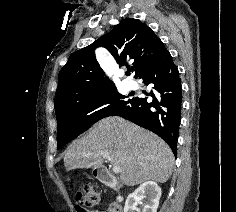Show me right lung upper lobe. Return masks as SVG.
I'll use <instances>...</instances> for the list:
<instances>
[{
  "mask_svg": "<svg viewBox=\"0 0 236 212\" xmlns=\"http://www.w3.org/2000/svg\"><path fill=\"white\" fill-rule=\"evenodd\" d=\"M100 46L106 48L120 66L128 67L127 63L131 61L137 78L164 44L145 23L133 18L124 19L108 34L69 57L58 76L55 111L80 98L115 89L95 58L94 50Z\"/></svg>",
  "mask_w": 236,
  "mask_h": 212,
  "instance_id": "1",
  "label": "right lung upper lobe"
}]
</instances>
